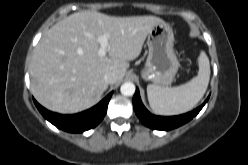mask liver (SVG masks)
Wrapping results in <instances>:
<instances>
[{"label": "liver", "instance_id": "liver-1", "mask_svg": "<svg viewBox=\"0 0 248 165\" xmlns=\"http://www.w3.org/2000/svg\"><path fill=\"white\" fill-rule=\"evenodd\" d=\"M164 21L155 16L113 17L81 11L60 20L35 47L30 64L31 92L45 108L73 114L97 104L107 89L104 75L121 81L150 30ZM108 34V56L98 55L97 37Z\"/></svg>", "mask_w": 248, "mask_h": 165}]
</instances>
